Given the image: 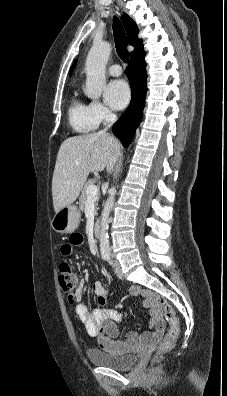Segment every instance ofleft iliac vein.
I'll list each match as a JSON object with an SVG mask.
<instances>
[{"instance_id": "left-iliac-vein-1", "label": "left iliac vein", "mask_w": 227, "mask_h": 396, "mask_svg": "<svg viewBox=\"0 0 227 396\" xmlns=\"http://www.w3.org/2000/svg\"><path fill=\"white\" fill-rule=\"evenodd\" d=\"M114 267H115V268H114L115 274L117 275V277H118L119 279H124V275H123V273H122V269H121L120 264H119L118 262H115Z\"/></svg>"}]
</instances>
